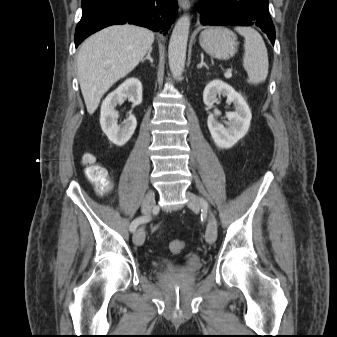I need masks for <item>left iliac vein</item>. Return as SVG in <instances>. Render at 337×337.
Masks as SVG:
<instances>
[{
  "instance_id": "obj_1",
  "label": "left iliac vein",
  "mask_w": 337,
  "mask_h": 337,
  "mask_svg": "<svg viewBox=\"0 0 337 337\" xmlns=\"http://www.w3.org/2000/svg\"><path fill=\"white\" fill-rule=\"evenodd\" d=\"M186 197L188 198L187 205L192 210L199 211L200 209L204 208L203 201L194 193L188 191L186 192ZM216 238H217V226L212 214H210L205 239L207 243L213 244L216 241Z\"/></svg>"
}]
</instances>
